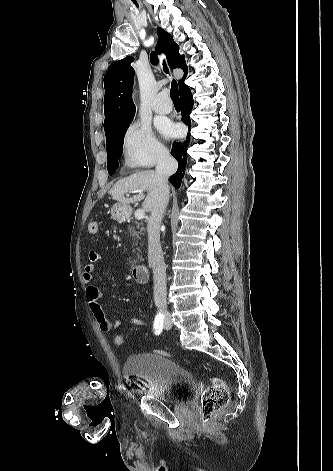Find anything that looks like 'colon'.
I'll list each match as a JSON object with an SVG mask.
<instances>
[{"instance_id": "5ec220e1", "label": "colon", "mask_w": 333, "mask_h": 471, "mask_svg": "<svg viewBox=\"0 0 333 471\" xmlns=\"http://www.w3.org/2000/svg\"><path fill=\"white\" fill-rule=\"evenodd\" d=\"M88 231L90 234L98 232V224L91 221L88 224ZM125 342V337L121 333L113 336V343L116 346H122ZM155 353L170 356V354L163 350H156ZM229 403V391L224 381L219 377L212 378L210 386L204 391L201 403V422L204 428H207L217 412L224 409Z\"/></svg>"}]
</instances>
